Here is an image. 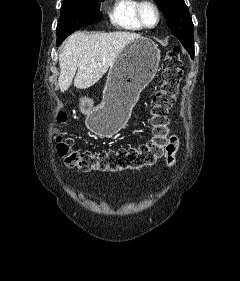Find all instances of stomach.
Segmentation results:
<instances>
[{
    "label": "stomach",
    "mask_w": 240,
    "mask_h": 281,
    "mask_svg": "<svg viewBox=\"0 0 240 281\" xmlns=\"http://www.w3.org/2000/svg\"><path fill=\"white\" fill-rule=\"evenodd\" d=\"M159 62L160 51L151 39L141 36L129 42L109 70L102 103L93 107L82 101L86 126L101 137L118 132L141 91L153 80Z\"/></svg>",
    "instance_id": "stomach-1"
}]
</instances>
